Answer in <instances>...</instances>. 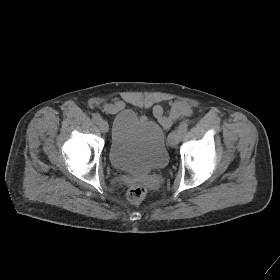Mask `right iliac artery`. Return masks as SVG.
<instances>
[{
    "label": "right iliac artery",
    "mask_w": 280,
    "mask_h": 280,
    "mask_svg": "<svg viewBox=\"0 0 280 280\" xmlns=\"http://www.w3.org/2000/svg\"><path fill=\"white\" fill-rule=\"evenodd\" d=\"M92 120L94 123L99 124L102 121V117L99 114H94Z\"/></svg>",
    "instance_id": "right-iliac-artery-1"
}]
</instances>
